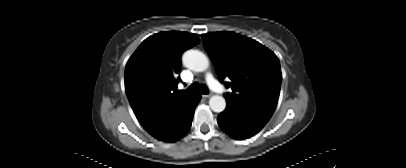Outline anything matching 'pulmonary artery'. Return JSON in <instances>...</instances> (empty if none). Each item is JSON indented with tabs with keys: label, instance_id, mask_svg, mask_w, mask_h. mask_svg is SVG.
<instances>
[{
	"label": "pulmonary artery",
	"instance_id": "e3ab8cb5",
	"mask_svg": "<svg viewBox=\"0 0 406 168\" xmlns=\"http://www.w3.org/2000/svg\"><path fill=\"white\" fill-rule=\"evenodd\" d=\"M205 78L212 90L218 93H227V89L216 81L211 74H206Z\"/></svg>",
	"mask_w": 406,
	"mask_h": 168
}]
</instances>
